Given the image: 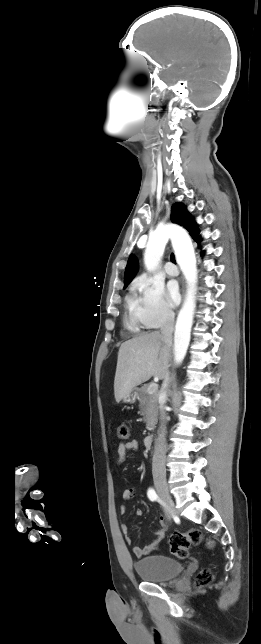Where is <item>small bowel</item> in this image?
Here are the masks:
<instances>
[{"instance_id": "c3829d8e", "label": "small bowel", "mask_w": 261, "mask_h": 644, "mask_svg": "<svg viewBox=\"0 0 261 644\" xmlns=\"http://www.w3.org/2000/svg\"><path fill=\"white\" fill-rule=\"evenodd\" d=\"M138 448H139V444H138V442L136 440H132V441L125 442V443L124 442L120 443L119 446H118V449H117L118 456H117L116 463L118 465L122 464L125 461L128 452H136L138 450ZM134 495H135V488H126L122 492V498L125 501H128V500L132 499L134 497ZM120 511H121V513H124L126 511V506L122 505L120 507ZM135 514H136V516H142L143 515V510L141 508H137L136 511H135ZM159 522H160V527L155 532L156 536H155V538L153 540H151L144 547L134 546L132 548V551H133L135 556L142 557L144 555H148V554L154 552L155 550H157L159 548L161 542L163 541V539L165 537V530H166V528L168 526V523H169V516L161 515L160 518H159ZM121 531L124 533V535L126 537V541L130 543L132 541V538H131V535H130L129 526L126 525V524H122L121 525Z\"/></svg>"}]
</instances>
